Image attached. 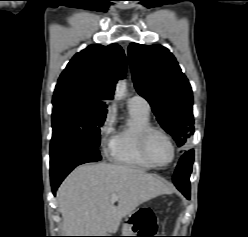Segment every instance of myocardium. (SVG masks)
Segmentation results:
<instances>
[{"mask_svg": "<svg viewBox=\"0 0 248 237\" xmlns=\"http://www.w3.org/2000/svg\"><path fill=\"white\" fill-rule=\"evenodd\" d=\"M153 133H159L162 136H164L166 138V140L169 142L170 146H171V158L170 160L164 164V165H159L156 164L155 162L152 161L151 157L149 156L148 153V148H147V144H148V139L149 137L153 134ZM139 148H140V152L142 154V156L144 157V159L153 167L156 169H164L166 167H168L175 159L176 156V147L175 144L173 142L172 137L163 129L159 128V127H154V126H148L146 128H144L140 134H139Z\"/></svg>", "mask_w": 248, "mask_h": 237, "instance_id": "myocardium-1", "label": "myocardium"}]
</instances>
